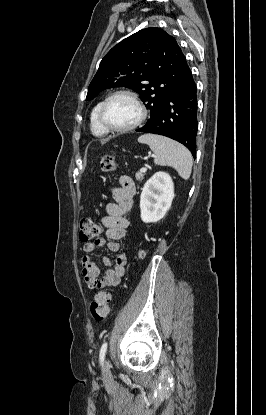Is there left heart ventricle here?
<instances>
[{
    "label": "left heart ventricle",
    "mask_w": 266,
    "mask_h": 415,
    "mask_svg": "<svg viewBox=\"0 0 266 415\" xmlns=\"http://www.w3.org/2000/svg\"><path fill=\"white\" fill-rule=\"evenodd\" d=\"M105 117L111 126L126 127L137 120L139 109L129 97L118 96L109 102Z\"/></svg>",
    "instance_id": "obj_1"
}]
</instances>
